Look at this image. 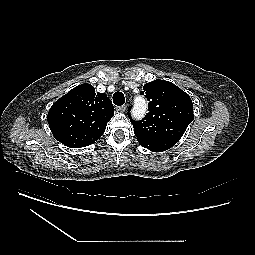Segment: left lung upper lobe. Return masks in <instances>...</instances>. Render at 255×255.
<instances>
[{"label": "left lung upper lobe", "instance_id": "5c2ea615", "mask_svg": "<svg viewBox=\"0 0 255 255\" xmlns=\"http://www.w3.org/2000/svg\"><path fill=\"white\" fill-rule=\"evenodd\" d=\"M149 101V113L140 121H134V133L138 141H179L187 126L194 119L190 96L171 82L154 80L143 86Z\"/></svg>", "mask_w": 255, "mask_h": 255}]
</instances>
